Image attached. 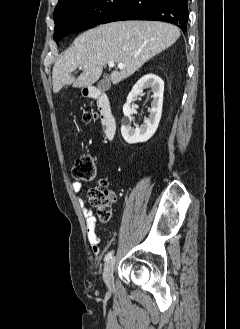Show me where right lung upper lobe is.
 <instances>
[{"label":"right lung upper lobe","mask_w":240,"mask_h":329,"mask_svg":"<svg viewBox=\"0 0 240 329\" xmlns=\"http://www.w3.org/2000/svg\"><path fill=\"white\" fill-rule=\"evenodd\" d=\"M68 1H70V0H59V1H58V4H57V6H56L55 9L60 8L61 6H63V5H64L65 3H67Z\"/></svg>","instance_id":"1"}]
</instances>
